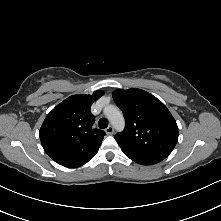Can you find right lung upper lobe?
Returning <instances> with one entry per match:
<instances>
[{
  "label": "right lung upper lobe",
  "instance_id": "1",
  "mask_svg": "<svg viewBox=\"0 0 221 221\" xmlns=\"http://www.w3.org/2000/svg\"><path fill=\"white\" fill-rule=\"evenodd\" d=\"M103 95H73L57 105L45 118L40 140L45 152L58 164L76 168L86 164L98 152L105 132L93 129L90 107Z\"/></svg>",
  "mask_w": 221,
  "mask_h": 221
}]
</instances>
